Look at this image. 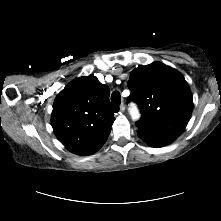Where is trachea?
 Segmentation results:
<instances>
[{
  "mask_svg": "<svg viewBox=\"0 0 221 221\" xmlns=\"http://www.w3.org/2000/svg\"><path fill=\"white\" fill-rule=\"evenodd\" d=\"M111 101L116 103V104H120L121 103V96H120V93L118 91H114L112 93Z\"/></svg>",
  "mask_w": 221,
  "mask_h": 221,
  "instance_id": "trachea-1",
  "label": "trachea"
}]
</instances>
